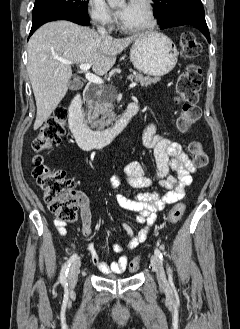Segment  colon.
<instances>
[{
	"instance_id": "colon-1",
	"label": "colon",
	"mask_w": 240,
	"mask_h": 329,
	"mask_svg": "<svg viewBox=\"0 0 240 329\" xmlns=\"http://www.w3.org/2000/svg\"><path fill=\"white\" fill-rule=\"evenodd\" d=\"M181 50L186 58L197 57L202 50L200 42L193 33L185 32L181 37ZM203 82L201 70L196 66H189L177 82V94L182 102V109L177 121L178 127L185 132L195 124L200 117L198 106L199 91ZM67 109L63 105L57 106L46 119L40 133L33 140L32 148L36 152L34 158L33 176L44 194V201L48 209L61 222H74L78 218V207L82 198L74 190V182L62 170L52 169L44 163L42 152L57 144L66 131ZM189 153L193 164L202 168L208 158L200 142L194 141L189 145ZM185 212V204L177 203L169 211L170 222L176 223ZM140 267L138 259L129 263V269L134 272Z\"/></svg>"
}]
</instances>
